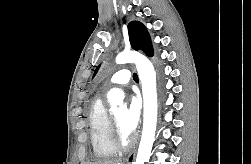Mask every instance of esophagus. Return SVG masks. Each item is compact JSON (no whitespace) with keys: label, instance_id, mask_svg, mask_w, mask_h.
<instances>
[{"label":"esophagus","instance_id":"34e87169","mask_svg":"<svg viewBox=\"0 0 251 164\" xmlns=\"http://www.w3.org/2000/svg\"><path fill=\"white\" fill-rule=\"evenodd\" d=\"M135 156H136V149H134L127 157V164H132L133 161L135 160Z\"/></svg>","mask_w":251,"mask_h":164}]
</instances>
